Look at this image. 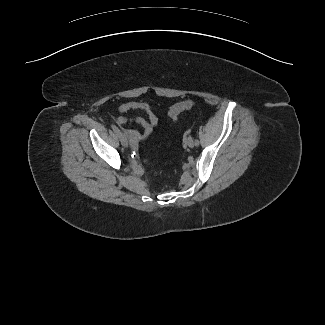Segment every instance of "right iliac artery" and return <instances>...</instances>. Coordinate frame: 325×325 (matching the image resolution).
<instances>
[{
	"instance_id": "1",
	"label": "right iliac artery",
	"mask_w": 325,
	"mask_h": 325,
	"mask_svg": "<svg viewBox=\"0 0 325 325\" xmlns=\"http://www.w3.org/2000/svg\"><path fill=\"white\" fill-rule=\"evenodd\" d=\"M111 128L113 129V131L119 136L121 134L120 130L118 129L117 126H115L114 124H111Z\"/></svg>"
}]
</instances>
